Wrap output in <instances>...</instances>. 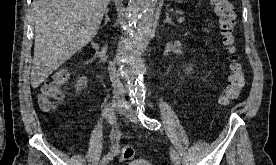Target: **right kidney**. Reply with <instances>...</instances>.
<instances>
[{
	"instance_id": "1",
	"label": "right kidney",
	"mask_w": 276,
	"mask_h": 165,
	"mask_svg": "<svg viewBox=\"0 0 276 165\" xmlns=\"http://www.w3.org/2000/svg\"><path fill=\"white\" fill-rule=\"evenodd\" d=\"M87 83H88V80L86 77H80L78 80H77V84H76V90L77 91H80L82 90L83 88L87 87Z\"/></svg>"
}]
</instances>
